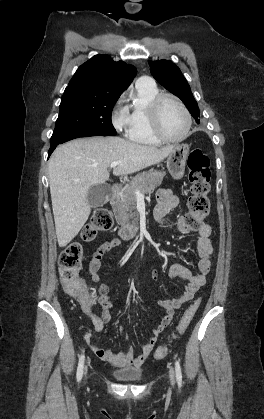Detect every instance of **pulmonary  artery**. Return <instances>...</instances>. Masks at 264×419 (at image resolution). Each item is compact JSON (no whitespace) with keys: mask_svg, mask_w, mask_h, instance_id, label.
<instances>
[{"mask_svg":"<svg viewBox=\"0 0 264 419\" xmlns=\"http://www.w3.org/2000/svg\"><path fill=\"white\" fill-rule=\"evenodd\" d=\"M137 83H144V84H148V83H153V80L150 77L147 76H143L140 77L137 81Z\"/></svg>","mask_w":264,"mask_h":419,"instance_id":"pulmonary-artery-1","label":"pulmonary artery"}]
</instances>
